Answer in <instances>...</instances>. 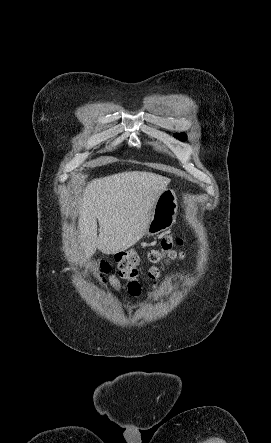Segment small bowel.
<instances>
[{"label": "small bowel", "instance_id": "small-bowel-1", "mask_svg": "<svg viewBox=\"0 0 271 443\" xmlns=\"http://www.w3.org/2000/svg\"><path fill=\"white\" fill-rule=\"evenodd\" d=\"M109 273H110L109 265L104 262H101L99 264V272L97 273L98 279L100 280L101 283H104L105 281L104 277L107 276ZM108 282L113 288H115L116 290H120L121 287L120 282L115 276L110 275L108 277Z\"/></svg>", "mask_w": 271, "mask_h": 443}]
</instances>
